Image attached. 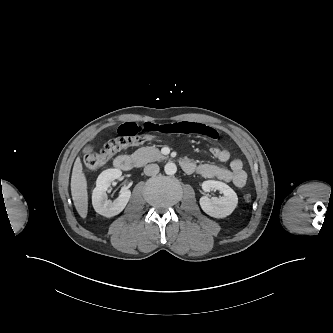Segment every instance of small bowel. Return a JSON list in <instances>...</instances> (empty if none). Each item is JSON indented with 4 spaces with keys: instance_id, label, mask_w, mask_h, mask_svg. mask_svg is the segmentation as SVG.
<instances>
[{
    "instance_id": "c3829d8e",
    "label": "small bowel",
    "mask_w": 333,
    "mask_h": 333,
    "mask_svg": "<svg viewBox=\"0 0 333 333\" xmlns=\"http://www.w3.org/2000/svg\"><path fill=\"white\" fill-rule=\"evenodd\" d=\"M142 131L160 132L163 134H197L210 139H216L218 137V133L215 129L202 123L187 121L161 125L153 123L137 124L129 122L120 125L118 128L120 136L126 137L136 136ZM210 152L219 162H228L231 160V154L226 149L215 146L210 149ZM192 164L194 168L188 173L197 172L205 178H216L223 182H231L238 188L244 187L247 182V173L244 170L243 163L240 159L231 160L229 167H220L210 163H203L199 165L194 163Z\"/></svg>"
}]
</instances>
